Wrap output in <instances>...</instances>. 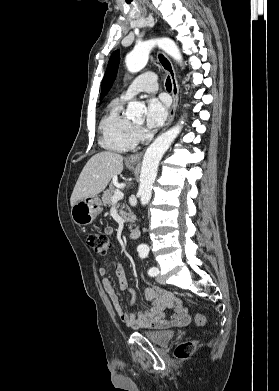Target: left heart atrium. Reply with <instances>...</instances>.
Masks as SVG:
<instances>
[{
  "label": "left heart atrium",
  "instance_id": "obj_1",
  "mask_svg": "<svg viewBox=\"0 0 279 391\" xmlns=\"http://www.w3.org/2000/svg\"><path fill=\"white\" fill-rule=\"evenodd\" d=\"M167 102L164 98L152 97L147 101L145 124L148 129L159 127L167 117Z\"/></svg>",
  "mask_w": 279,
  "mask_h": 391
}]
</instances>
